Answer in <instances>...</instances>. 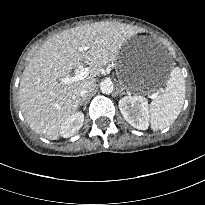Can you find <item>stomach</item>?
<instances>
[{
    "instance_id": "1",
    "label": "stomach",
    "mask_w": 205,
    "mask_h": 205,
    "mask_svg": "<svg viewBox=\"0 0 205 205\" xmlns=\"http://www.w3.org/2000/svg\"><path fill=\"white\" fill-rule=\"evenodd\" d=\"M159 56L160 47L152 37L147 35L134 36L123 45L117 56V68L128 90H141L147 93L158 90L161 83L146 78L143 68L153 66Z\"/></svg>"
}]
</instances>
